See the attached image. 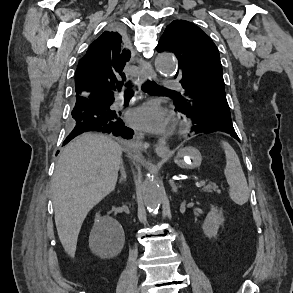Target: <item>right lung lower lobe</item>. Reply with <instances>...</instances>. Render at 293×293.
Wrapping results in <instances>:
<instances>
[{
    "label": "right lung lower lobe",
    "instance_id": "obj_1",
    "mask_svg": "<svg viewBox=\"0 0 293 293\" xmlns=\"http://www.w3.org/2000/svg\"><path fill=\"white\" fill-rule=\"evenodd\" d=\"M113 100L114 95L76 96L72 110L73 130L66 137L63 145L77 135L88 131H98L130 139L133 130L124 126L119 117L120 112L117 113L110 109Z\"/></svg>",
    "mask_w": 293,
    "mask_h": 293
}]
</instances>
